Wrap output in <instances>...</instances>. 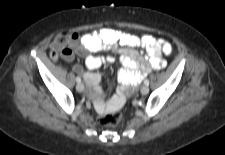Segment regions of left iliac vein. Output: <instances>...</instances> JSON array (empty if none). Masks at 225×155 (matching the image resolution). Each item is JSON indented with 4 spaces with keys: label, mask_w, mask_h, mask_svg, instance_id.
<instances>
[{
    "label": "left iliac vein",
    "mask_w": 225,
    "mask_h": 155,
    "mask_svg": "<svg viewBox=\"0 0 225 155\" xmlns=\"http://www.w3.org/2000/svg\"><path fill=\"white\" fill-rule=\"evenodd\" d=\"M141 94L146 95L149 93V87L148 86H142L140 90Z\"/></svg>",
    "instance_id": "left-iliac-vein-1"
}]
</instances>
